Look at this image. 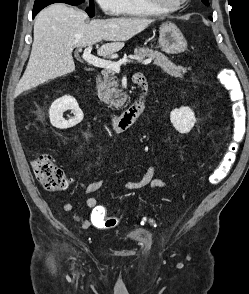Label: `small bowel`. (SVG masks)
I'll return each mask as SVG.
<instances>
[{
	"mask_svg": "<svg viewBox=\"0 0 249 294\" xmlns=\"http://www.w3.org/2000/svg\"><path fill=\"white\" fill-rule=\"evenodd\" d=\"M156 166L150 165L144 175L136 181H126L122 184V188L128 191L139 190L144 187H150L152 189H163L168 187V183L162 179L155 178ZM102 182H92L85 186L84 192L86 194H92L100 190ZM85 205L90 209L89 219L82 217L76 211L71 203H65L62 205V210L66 213H71L73 219L78 222L82 229H88L91 226L98 229H107L114 227L117 224V219L110 217L106 214L105 209L101 206L97 199L89 197Z\"/></svg>",
	"mask_w": 249,
	"mask_h": 294,
	"instance_id": "small-bowel-1",
	"label": "small bowel"
}]
</instances>
